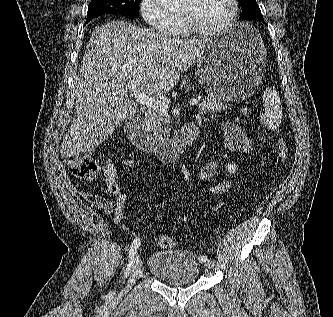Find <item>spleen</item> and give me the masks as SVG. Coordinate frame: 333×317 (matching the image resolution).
Segmentation results:
<instances>
[{
  "label": "spleen",
  "mask_w": 333,
  "mask_h": 317,
  "mask_svg": "<svg viewBox=\"0 0 333 317\" xmlns=\"http://www.w3.org/2000/svg\"><path fill=\"white\" fill-rule=\"evenodd\" d=\"M264 112L260 116L261 122L274 130L279 127L282 120V105L276 89L267 87L263 94Z\"/></svg>",
  "instance_id": "spleen-1"
}]
</instances>
